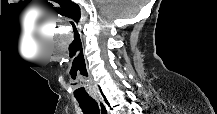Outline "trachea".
Returning a JSON list of instances; mask_svg holds the SVG:
<instances>
[{"label": "trachea", "mask_w": 217, "mask_h": 114, "mask_svg": "<svg viewBox=\"0 0 217 114\" xmlns=\"http://www.w3.org/2000/svg\"><path fill=\"white\" fill-rule=\"evenodd\" d=\"M84 114H99V106L93 98L77 99Z\"/></svg>", "instance_id": "trachea-1"}]
</instances>
